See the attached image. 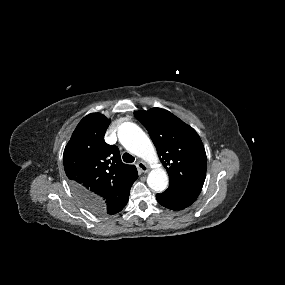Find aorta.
Segmentation results:
<instances>
[{"label":"aorta","instance_id":"1","mask_svg":"<svg viewBox=\"0 0 285 285\" xmlns=\"http://www.w3.org/2000/svg\"><path fill=\"white\" fill-rule=\"evenodd\" d=\"M118 138L129 152L151 164L158 162L154 145L145 132L135 123L124 122L121 124L118 129ZM147 184L156 192L164 191L168 185L166 171L161 167L152 169L148 174Z\"/></svg>","mask_w":285,"mask_h":285}]
</instances>
